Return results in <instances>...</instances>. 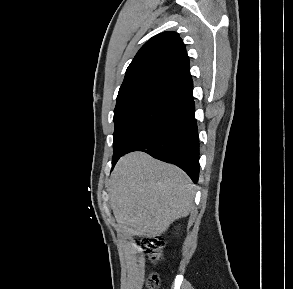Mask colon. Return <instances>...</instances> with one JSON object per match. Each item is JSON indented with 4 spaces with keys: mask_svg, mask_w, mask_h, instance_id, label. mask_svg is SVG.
<instances>
[{
    "mask_svg": "<svg viewBox=\"0 0 293 289\" xmlns=\"http://www.w3.org/2000/svg\"><path fill=\"white\" fill-rule=\"evenodd\" d=\"M141 247L148 253L154 262L162 258L164 241L158 236H145L140 240ZM160 283V277L156 272H151L147 280L148 289H157Z\"/></svg>",
    "mask_w": 293,
    "mask_h": 289,
    "instance_id": "1",
    "label": "colon"
}]
</instances>
